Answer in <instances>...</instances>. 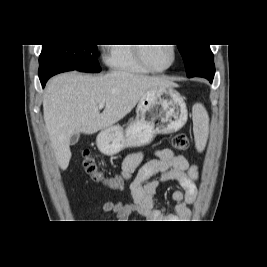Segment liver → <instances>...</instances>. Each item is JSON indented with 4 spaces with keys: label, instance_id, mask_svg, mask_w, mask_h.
Listing matches in <instances>:
<instances>
[{
    "label": "liver",
    "instance_id": "1",
    "mask_svg": "<svg viewBox=\"0 0 267 267\" xmlns=\"http://www.w3.org/2000/svg\"><path fill=\"white\" fill-rule=\"evenodd\" d=\"M164 77L114 71L104 76L77 72L53 77L43 99L44 121L57 163L66 170L71 158L70 138L94 134L123 119L150 90L174 87ZM105 103L102 113L99 103Z\"/></svg>",
    "mask_w": 267,
    "mask_h": 267
}]
</instances>
